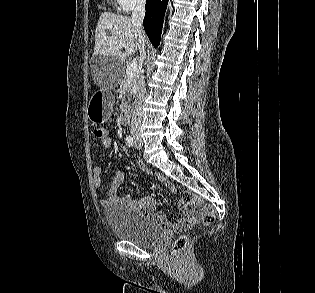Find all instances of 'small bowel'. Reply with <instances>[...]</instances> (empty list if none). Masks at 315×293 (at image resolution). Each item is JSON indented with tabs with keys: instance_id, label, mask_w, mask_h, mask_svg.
Here are the masks:
<instances>
[{
	"instance_id": "obj_1",
	"label": "small bowel",
	"mask_w": 315,
	"mask_h": 293,
	"mask_svg": "<svg viewBox=\"0 0 315 293\" xmlns=\"http://www.w3.org/2000/svg\"><path fill=\"white\" fill-rule=\"evenodd\" d=\"M101 143H102L104 150L107 151L112 145V140L109 136H106L104 139L101 140ZM134 161H135V164L137 165V167H139L142 170L145 169V165L139 157H136ZM101 172H102L101 165L97 164L93 168V184H94L96 189H99L102 185ZM124 177H125L124 171L120 170L116 173L113 180L111 181V183L108 186L106 197L101 200V205L104 207H108V206H110L114 203H117V202H126V203H130V204H132V205H134V206H136V207H138L144 211H149L151 209H154L156 207V201L151 196H146L140 200H132L127 195L123 196V197L117 196V191H118L120 185L122 184ZM155 178L160 183L166 185L167 187H169L173 191H176L174 186L172 184H170V182L167 180V178H165L163 175L156 174ZM178 205L180 208H186L189 206L187 204H184L182 201H180ZM156 218L161 222H166L165 216L160 212L156 213ZM196 221H197V211H195V210L186 211L183 213L181 218L178 220L175 227L178 230H188L189 227L193 223H195Z\"/></svg>"
}]
</instances>
